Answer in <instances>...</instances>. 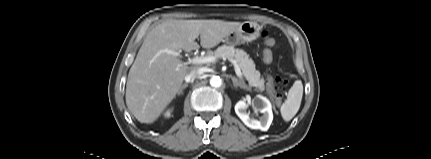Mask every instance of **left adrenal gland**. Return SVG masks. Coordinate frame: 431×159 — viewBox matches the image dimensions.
Wrapping results in <instances>:
<instances>
[{
	"mask_svg": "<svg viewBox=\"0 0 431 159\" xmlns=\"http://www.w3.org/2000/svg\"><path fill=\"white\" fill-rule=\"evenodd\" d=\"M231 79H232V81H233V86L235 87V88H237V87H240V88H242V89H246V90H248V91H251V89L244 83V81H242V80H238L236 77H234V76H231Z\"/></svg>",
	"mask_w": 431,
	"mask_h": 159,
	"instance_id": "obj_1",
	"label": "left adrenal gland"
}]
</instances>
